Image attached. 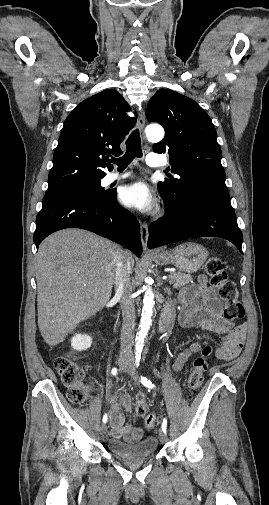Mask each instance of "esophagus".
<instances>
[{"mask_svg": "<svg viewBox=\"0 0 269 505\" xmlns=\"http://www.w3.org/2000/svg\"><path fill=\"white\" fill-rule=\"evenodd\" d=\"M137 124L138 127L141 131H143L144 126H145V115L144 112H140L138 115L137 119ZM140 235H141V242L142 246L145 252H150V250L147 247L148 243V225L145 222L140 221Z\"/></svg>", "mask_w": 269, "mask_h": 505, "instance_id": "obj_1", "label": "esophagus"}]
</instances>
